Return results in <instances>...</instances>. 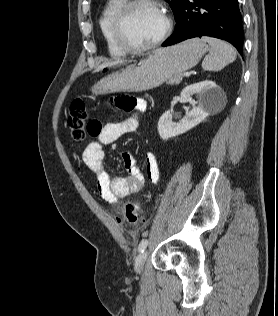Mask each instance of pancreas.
I'll list each match as a JSON object with an SVG mask.
<instances>
[{
	"mask_svg": "<svg viewBox=\"0 0 278 316\" xmlns=\"http://www.w3.org/2000/svg\"><path fill=\"white\" fill-rule=\"evenodd\" d=\"M183 79V74H177V75H174L173 77H171L167 84L168 85H174V84H179Z\"/></svg>",
	"mask_w": 278,
	"mask_h": 316,
	"instance_id": "obj_1",
	"label": "pancreas"
}]
</instances>
